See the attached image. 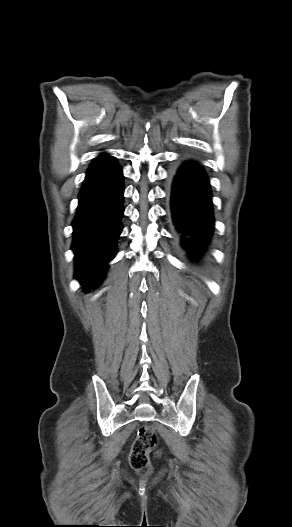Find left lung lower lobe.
I'll return each mask as SVG.
<instances>
[{
	"instance_id": "0a47b994",
	"label": "left lung lower lobe",
	"mask_w": 292,
	"mask_h": 527,
	"mask_svg": "<svg viewBox=\"0 0 292 527\" xmlns=\"http://www.w3.org/2000/svg\"><path fill=\"white\" fill-rule=\"evenodd\" d=\"M171 209L183 246L192 254H201L214 219L208 179L197 163L186 161L174 172Z\"/></svg>"
}]
</instances>
